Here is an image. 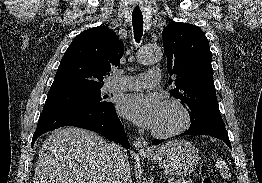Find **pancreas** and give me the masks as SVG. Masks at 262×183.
Returning a JSON list of instances; mask_svg holds the SVG:
<instances>
[{
	"instance_id": "pancreas-1",
	"label": "pancreas",
	"mask_w": 262,
	"mask_h": 183,
	"mask_svg": "<svg viewBox=\"0 0 262 183\" xmlns=\"http://www.w3.org/2000/svg\"><path fill=\"white\" fill-rule=\"evenodd\" d=\"M175 183H192L191 181H187V180H178Z\"/></svg>"
}]
</instances>
